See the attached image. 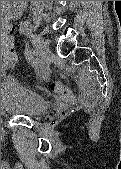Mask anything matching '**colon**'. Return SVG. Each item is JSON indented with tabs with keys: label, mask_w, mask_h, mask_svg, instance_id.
Returning a JSON list of instances; mask_svg holds the SVG:
<instances>
[{
	"label": "colon",
	"mask_w": 121,
	"mask_h": 169,
	"mask_svg": "<svg viewBox=\"0 0 121 169\" xmlns=\"http://www.w3.org/2000/svg\"><path fill=\"white\" fill-rule=\"evenodd\" d=\"M2 67L12 68L17 63V55L14 51L13 44L9 40L1 43ZM51 91L55 92L63 101L70 102L73 99L72 91L59 81H54L50 85Z\"/></svg>",
	"instance_id": "5ec220e1"
}]
</instances>
